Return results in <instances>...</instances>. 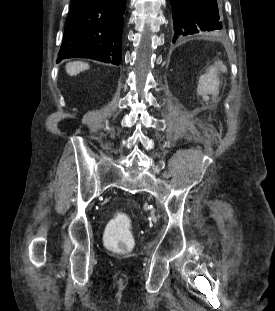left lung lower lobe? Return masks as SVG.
I'll use <instances>...</instances> for the list:
<instances>
[{
	"instance_id": "left-lung-lower-lobe-1",
	"label": "left lung lower lobe",
	"mask_w": 275,
	"mask_h": 311,
	"mask_svg": "<svg viewBox=\"0 0 275 311\" xmlns=\"http://www.w3.org/2000/svg\"><path fill=\"white\" fill-rule=\"evenodd\" d=\"M173 43L192 34H216L224 27L219 0H171Z\"/></svg>"
}]
</instances>
